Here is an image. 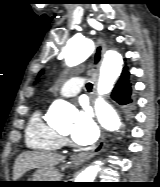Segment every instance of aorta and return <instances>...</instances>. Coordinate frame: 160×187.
I'll return each instance as SVG.
<instances>
[{
	"instance_id": "obj_1",
	"label": "aorta",
	"mask_w": 160,
	"mask_h": 187,
	"mask_svg": "<svg viewBox=\"0 0 160 187\" xmlns=\"http://www.w3.org/2000/svg\"><path fill=\"white\" fill-rule=\"evenodd\" d=\"M94 51V42L86 37L70 39L64 50L65 62L68 66H75L85 61ZM123 59L116 51H107L100 68L97 91L99 98L95 102V110L99 123L108 131H117L121 127L120 119L115 110L102 98L111 92L116 79L122 70ZM72 106L63 101H55L48 111L49 121L59 123L69 120ZM102 162L96 161L87 167L76 178V182H94L101 169Z\"/></svg>"
}]
</instances>
